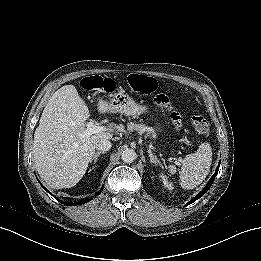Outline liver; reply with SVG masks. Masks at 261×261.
<instances>
[{
    "label": "liver",
    "mask_w": 261,
    "mask_h": 261,
    "mask_svg": "<svg viewBox=\"0 0 261 261\" xmlns=\"http://www.w3.org/2000/svg\"><path fill=\"white\" fill-rule=\"evenodd\" d=\"M104 114L111 106L104 100L97 104ZM89 109L73 85L58 89L48 101L34 134L35 168L48 186L72 187L84 176L100 139H111L106 131L82 137Z\"/></svg>",
    "instance_id": "6515ba94"
}]
</instances>
